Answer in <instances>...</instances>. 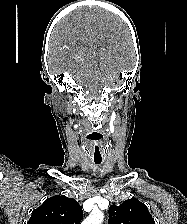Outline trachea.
<instances>
[{"instance_id": "trachea-1", "label": "trachea", "mask_w": 187, "mask_h": 224, "mask_svg": "<svg viewBox=\"0 0 187 224\" xmlns=\"http://www.w3.org/2000/svg\"><path fill=\"white\" fill-rule=\"evenodd\" d=\"M101 162H95V164H100Z\"/></svg>"}]
</instances>
